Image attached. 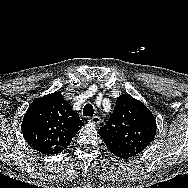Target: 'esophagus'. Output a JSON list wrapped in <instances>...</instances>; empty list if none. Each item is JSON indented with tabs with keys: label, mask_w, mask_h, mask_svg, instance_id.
Returning <instances> with one entry per match:
<instances>
[{
	"label": "esophagus",
	"mask_w": 188,
	"mask_h": 188,
	"mask_svg": "<svg viewBox=\"0 0 188 188\" xmlns=\"http://www.w3.org/2000/svg\"><path fill=\"white\" fill-rule=\"evenodd\" d=\"M88 122L98 125L101 122V118L99 116H93L88 118Z\"/></svg>",
	"instance_id": "34e87169"
}]
</instances>
